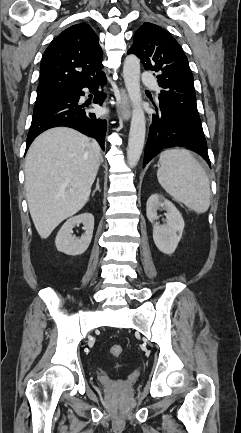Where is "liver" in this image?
Returning a JSON list of instances; mask_svg holds the SVG:
<instances>
[{
  "label": "liver",
  "mask_w": 241,
  "mask_h": 433,
  "mask_svg": "<svg viewBox=\"0 0 241 433\" xmlns=\"http://www.w3.org/2000/svg\"><path fill=\"white\" fill-rule=\"evenodd\" d=\"M98 167L90 139L74 129L52 128L34 140L25 159V190L42 239L87 203Z\"/></svg>",
  "instance_id": "1"
}]
</instances>
